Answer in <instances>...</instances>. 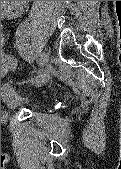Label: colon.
Returning a JSON list of instances; mask_svg holds the SVG:
<instances>
[{
    "instance_id": "5ec220e1",
    "label": "colon",
    "mask_w": 121,
    "mask_h": 169,
    "mask_svg": "<svg viewBox=\"0 0 121 169\" xmlns=\"http://www.w3.org/2000/svg\"><path fill=\"white\" fill-rule=\"evenodd\" d=\"M15 66H16V59L12 54L7 53L2 56V60H1L2 73L14 69Z\"/></svg>"
}]
</instances>
